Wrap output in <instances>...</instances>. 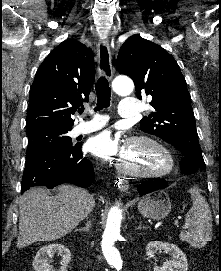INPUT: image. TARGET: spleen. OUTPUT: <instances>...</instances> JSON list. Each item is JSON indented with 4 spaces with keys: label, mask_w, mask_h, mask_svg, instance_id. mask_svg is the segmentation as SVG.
Masks as SVG:
<instances>
[{
    "label": "spleen",
    "mask_w": 221,
    "mask_h": 271,
    "mask_svg": "<svg viewBox=\"0 0 221 271\" xmlns=\"http://www.w3.org/2000/svg\"><path fill=\"white\" fill-rule=\"evenodd\" d=\"M185 223L187 229L179 233L181 241H188L193 247H204L207 241H211L212 213L202 195H192V207L185 215Z\"/></svg>",
    "instance_id": "spleen-1"
}]
</instances>
